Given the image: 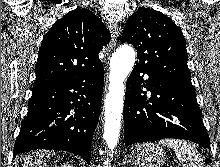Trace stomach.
Masks as SVG:
<instances>
[{
  "label": "stomach",
  "instance_id": "0dacf381",
  "mask_svg": "<svg viewBox=\"0 0 220 167\" xmlns=\"http://www.w3.org/2000/svg\"><path fill=\"white\" fill-rule=\"evenodd\" d=\"M135 167H161L166 160L165 151L155 144L135 146L129 156Z\"/></svg>",
  "mask_w": 220,
  "mask_h": 167
}]
</instances>
